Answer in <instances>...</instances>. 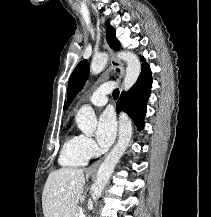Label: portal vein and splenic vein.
I'll return each mask as SVG.
<instances>
[{
    "label": "portal vein and splenic vein",
    "instance_id": "18ae733b",
    "mask_svg": "<svg viewBox=\"0 0 211 217\" xmlns=\"http://www.w3.org/2000/svg\"><path fill=\"white\" fill-rule=\"evenodd\" d=\"M79 217H84L83 212H80Z\"/></svg>",
    "mask_w": 211,
    "mask_h": 217
}]
</instances>
